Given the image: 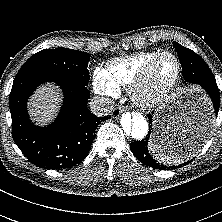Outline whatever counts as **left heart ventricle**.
I'll use <instances>...</instances> for the list:
<instances>
[{"label":"left heart ventricle","mask_w":222,"mask_h":222,"mask_svg":"<svg viewBox=\"0 0 222 222\" xmlns=\"http://www.w3.org/2000/svg\"><path fill=\"white\" fill-rule=\"evenodd\" d=\"M176 62L171 57L162 58L154 67L147 85L149 91H155L168 83L175 75Z\"/></svg>","instance_id":"left-heart-ventricle-1"}]
</instances>
